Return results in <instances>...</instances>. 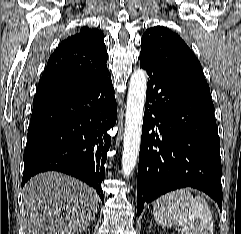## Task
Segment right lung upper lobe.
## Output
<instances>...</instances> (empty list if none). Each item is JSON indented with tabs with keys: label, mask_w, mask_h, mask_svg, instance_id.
<instances>
[{
	"label": "right lung upper lobe",
	"mask_w": 241,
	"mask_h": 234,
	"mask_svg": "<svg viewBox=\"0 0 241 234\" xmlns=\"http://www.w3.org/2000/svg\"><path fill=\"white\" fill-rule=\"evenodd\" d=\"M104 35L83 27L62 41L48 60L35 97L85 85L108 73Z\"/></svg>",
	"instance_id": "1"
}]
</instances>
